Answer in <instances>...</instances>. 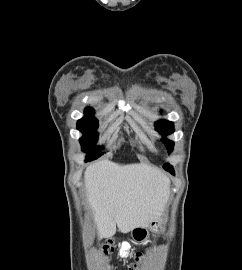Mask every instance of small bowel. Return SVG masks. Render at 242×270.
<instances>
[{
  "label": "small bowel",
  "instance_id": "obj_1",
  "mask_svg": "<svg viewBox=\"0 0 242 270\" xmlns=\"http://www.w3.org/2000/svg\"><path fill=\"white\" fill-rule=\"evenodd\" d=\"M125 249H126V245L123 244V245L121 246V248H120V255H121V256H125Z\"/></svg>",
  "mask_w": 242,
  "mask_h": 270
}]
</instances>
